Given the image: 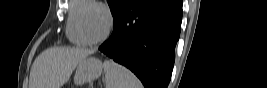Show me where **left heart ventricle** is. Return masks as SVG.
Wrapping results in <instances>:
<instances>
[{
    "label": "left heart ventricle",
    "instance_id": "1",
    "mask_svg": "<svg viewBox=\"0 0 267 88\" xmlns=\"http://www.w3.org/2000/svg\"><path fill=\"white\" fill-rule=\"evenodd\" d=\"M83 27L89 39H99L105 33L107 27L105 13L99 8L87 10L83 18Z\"/></svg>",
    "mask_w": 267,
    "mask_h": 88
}]
</instances>
